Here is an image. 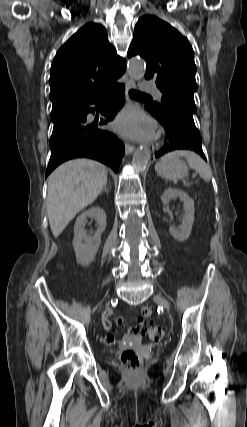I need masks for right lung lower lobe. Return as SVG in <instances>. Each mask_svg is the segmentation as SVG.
I'll return each instance as SVG.
<instances>
[{"label":"right lung lower lobe","instance_id":"right-lung-lower-lobe-1","mask_svg":"<svg viewBox=\"0 0 247 427\" xmlns=\"http://www.w3.org/2000/svg\"><path fill=\"white\" fill-rule=\"evenodd\" d=\"M124 85L116 84L104 95L85 103L61 105L51 111L54 123L50 138L51 156L45 173L47 177L58 165L69 159L86 157L98 160L117 172L125 149L124 144L111 132L99 126L114 119L124 105ZM95 104L105 119L90 120L88 114Z\"/></svg>","mask_w":247,"mask_h":427}]
</instances>
